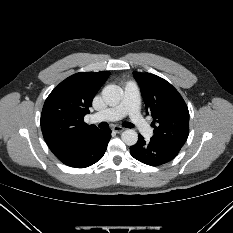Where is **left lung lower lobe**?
Masks as SVG:
<instances>
[{
  "label": "left lung lower lobe",
  "instance_id": "obj_1",
  "mask_svg": "<svg viewBox=\"0 0 233 233\" xmlns=\"http://www.w3.org/2000/svg\"><path fill=\"white\" fill-rule=\"evenodd\" d=\"M130 153L135 159L144 164L159 166L174 159L179 150L157 143L152 139L145 141L143 136L139 135L138 142L130 147Z\"/></svg>",
  "mask_w": 233,
  "mask_h": 233
}]
</instances>
